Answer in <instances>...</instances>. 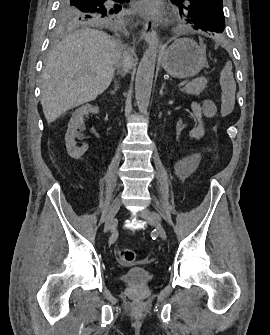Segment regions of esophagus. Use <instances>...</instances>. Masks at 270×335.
<instances>
[{
  "instance_id": "1",
  "label": "esophagus",
  "mask_w": 270,
  "mask_h": 335,
  "mask_svg": "<svg viewBox=\"0 0 270 335\" xmlns=\"http://www.w3.org/2000/svg\"><path fill=\"white\" fill-rule=\"evenodd\" d=\"M141 36L148 44L157 43L156 31L154 29L153 20L151 18H148L144 22Z\"/></svg>"
}]
</instances>
